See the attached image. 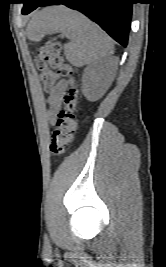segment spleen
<instances>
[{
    "mask_svg": "<svg viewBox=\"0 0 166 267\" xmlns=\"http://www.w3.org/2000/svg\"><path fill=\"white\" fill-rule=\"evenodd\" d=\"M28 31L33 37L63 33L70 40L64 47L66 58L75 66L106 59L114 52L110 37L98 25L63 5L46 7L34 14Z\"/></svg>",
    "mask_w": 166,
    "mask_h": 267,
    "instance_id": "1",
    "label": "spleen"
}]
</instances>
